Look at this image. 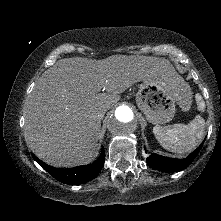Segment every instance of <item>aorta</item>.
I'll return each instance as SVG.
<instances>
[{
  "label": "aorta",
  "instance_id": "obj_1",
  "mask_svg": "<svg viewBox=\"0 0 221 221\" xmlns=\"http://www.w3.org/2000/svg\"><path fill=\"white\" fill-rule=\"evenodd\" d=\"M136 129V118L133 110L127 105L117 107L108 121V130L115 136L126 137L134 133Z\"/></svg>",
  "mask_w": 221,
  "mask_h": 221
}]
</instances>
